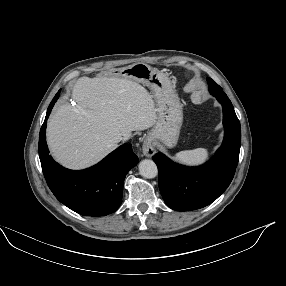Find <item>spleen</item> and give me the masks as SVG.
I'll use <instances>...</instances> for the list:
<instances>
[{"label":"spleen","mask_w":286,"mask_h":286,"mask_svg":"<svg viewBox=\"0 0 286 286\" xmlns=\"http://www.w3.org/2000/svg\"><path fill=\"white\" fill-rule=\"evenodd\" d=\"M208 158V151L204 148L181 151L174 156V160L186 165H199Z\"/></svg>","instance_id":"1"}]
</instances>
